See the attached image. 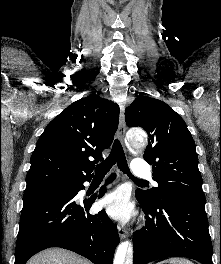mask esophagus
<instances>
[{
	"instance_id": "esophagus-1",
	"label": "esophagus",
	"mask_w": 221,
	"mask_h": 264,
	"mask_svg": "<svg viewBox=\"0 0 221 264\" xmlns=\"http://www.w3.org/2000/svg\"><path fill=\"white\" fill-rule=\"evenodd\" d=\"M120 116H119V138L123 142L126 132V122H125V105L120 103ZM119 237L125 239L128 236V231L122 227H118Z\"/></svg>"
}]
</instances>
